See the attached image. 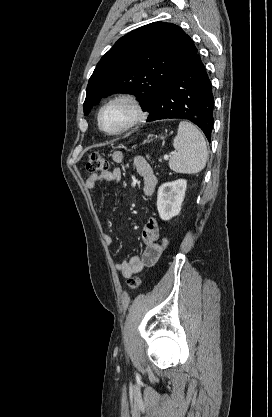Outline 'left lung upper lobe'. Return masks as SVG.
Here are the masks:
<instances>
[{"mask_svg":"<svg viewBox=\"0 0 272 417\" xmlns=\"http://www.w3.org/2000/svg\"><path fill=\"white\" fill-rule=\"evenodd\" d=\"M193 40L177 25L154 22L121 37L98 62L86 90L84 114L101 98L131 93L149 113L177 71L195 54Z\"/></svg>","mask_w":272,"mask_h":417,"instance_id":"1","label":"left lung upper lobe"}]
</instances>
